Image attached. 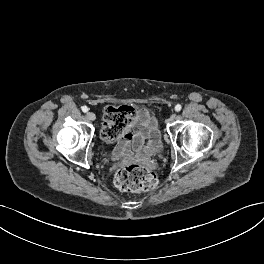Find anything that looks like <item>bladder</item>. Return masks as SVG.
I'll return each mask as SVG.
<instances>
[{"instance_id": "bladder-1", "label": "bladder", "mask_w": 264, "mask_h": 264, "mask_svg": "<svg viewBox=\"0 0 264 264\" xmlns=\"http://www.w3.org/2000/svg\"><path fill=\"white\" fill-rule=\"evenodd\" d=\"M162 151H163V141H162L161 135L159 134L157 139H156L154 146L149 151V154L150 155H158Z\"/></svg>"}]
</instances>
